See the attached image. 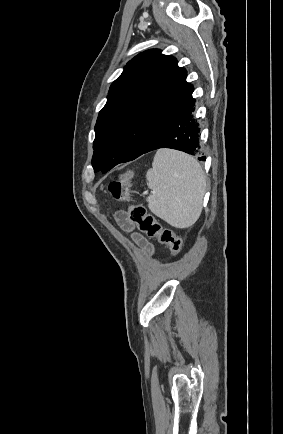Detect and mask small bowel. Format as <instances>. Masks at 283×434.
Here are the masks:
<instances>
[{"instance_id": "c3829d8e", "label": "small bowel", "mask_w": 283, "mask_h": 434, "mask_svg": "<svg viewBox=\"0 0 283 434\" xmlns=\"http://www.w3.org/2000/svg\"><path fill=\"white\" fill-rule=\"evenodd\" d=\"M116 221L118 225L126 232L131 233L132 239L146 252L153 253L154 247L153 245L141 234L134 232V224L129 220L128 215L119 211L116 213Z\"/></svg>"}]
</instances>
